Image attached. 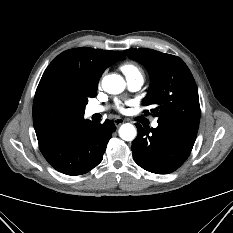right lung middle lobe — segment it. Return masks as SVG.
I'll list each match as a JSON object with an SVG mask.
<instances>
[{
  "instance_id": "1",
  "label": "right lung middle lobe",
  "mask_w": 233,
  "mask_h": 233,
  "mask_svg": "<svg viewBox=\"0 0 233 233\" xmlns=\"http://www.w3.org/2000/svg\"><path fill=\"white\" fill-rule=\"evenodd\" d=\"M95 96H96V94H93V95H83V97H82V103H83V105L85 106L87 104L88 98L95 97Z\"/></svg>"
}]
</instances>
